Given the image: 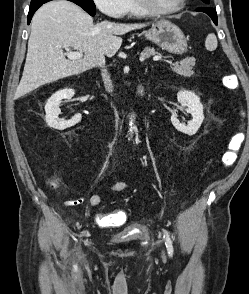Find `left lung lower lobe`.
I'll use <instances>...</instances> for the list:
<instances>
[{
    "label": "left lung lower lobe",
    "mask_w": 249,
    "mask_h": 294,
    "mask_svg": "<svg viewBox=\"0 0 249 294\" xmlns=\"http://www.w3.org/2000/svg\"><path fill=\"white\" fill-rule=\"evenodd\" d=\"M196 11L208 14L212 18L213 22L217 25V13L213 8H198Z\"/></svg>",
    "instance_id": "left-lung-lower-lobe-1"
}]
</instances>
